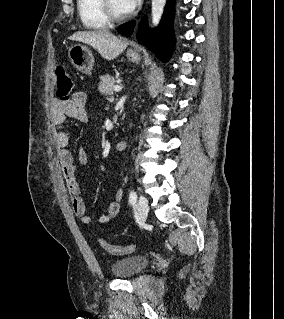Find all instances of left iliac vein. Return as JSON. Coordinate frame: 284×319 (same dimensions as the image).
I'll return each mask as SVG.
<instances>
[{"label": "left iliac vein", "mask_w": 284, "mask_h": 319, "mask_svg": "<svg viewBox=\"0 0 284 319\" xmlns=\"http://www.w3.org/2000/svg\"><path fill=\"white\" fill-rule=\"evenodd\" d=\"M138 210L142 219L147 217L149 211L148 200L143 195H140L138 198Z\"/></svg>", "instance_id": "4c4485c4"}]
</instances>
